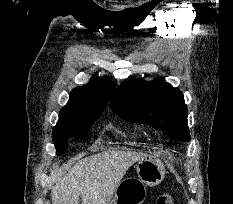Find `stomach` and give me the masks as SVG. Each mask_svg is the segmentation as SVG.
I'll use <instances>...</instances> for the list:
<instances>
[{
	"label": "stomach",
	"mask_w": 233,
	"mask_h": 204,
	"mask_svg": "<svg viewBox=\"0 0 233 204\" xmlns=\"http://www.w3.org/2000/svg\"><path fill=\"white\" fill-rule=\"evenodd\" d=\"M139 179L123 180L116 188L109 204H142L146 197L145 185H159L165 177V166L157 158L145 156L136 164Z\"/></svg>",
	"instance_id": "1"
}]
</instances>
